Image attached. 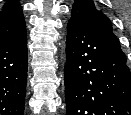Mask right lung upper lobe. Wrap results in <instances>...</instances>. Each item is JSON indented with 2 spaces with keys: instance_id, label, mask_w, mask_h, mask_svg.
Instances as JSON below:
<instances>
[{
  "instance_id": "obj_1",
  "label": "right lung upper lobe",
  "mask_w": 131,
  "mask_h": 115,
  "mask_svg": "<svg viewBox=\"0 0 131 115\" xmlns=\"http://www.w3.org/2000/svg\"><path fill=\"white\" fill-rule=\"evenodd\" d=\"M26 35L22 8L10 0L0 11V48L17 43Z\"/></svg>"
}]
</instances>
